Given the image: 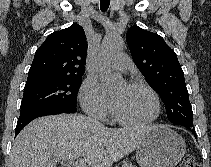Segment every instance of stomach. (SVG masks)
<instances>
[{
  "mask_svg": "<svg viewBox=\"0 0 211 167\" xmlns=\"http://www.w3.org/2000/svg\"><path fill=\"white\" fill-rule=\"evenodd\" d=\"M185 152L186 144L179 134L157 125L140 141L136 159L140 167H175Z\"/></svg>",
  "mask_w": 211,
  "mask_h": 167,
  "instance_id": "stomach-1",
  "label": "stomach"
}]
</instances>
